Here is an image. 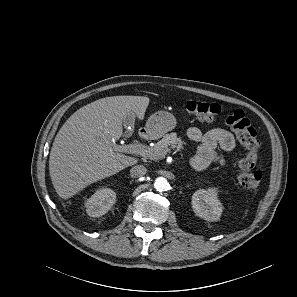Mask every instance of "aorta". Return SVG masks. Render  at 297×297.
I'll use <instances>...</instances> for the list:
<instances>
[{
  "mask_svg": "<svg viewBox=\"0 0 297 297\" xmlns=\"http://www.w3.org/2000/svg\"><path fill=\"white\" fill-rule=\"evenodd\" d=\"M154 188L159 191H165L168 188V181L166 178L164 177H158L156 178L155 182H154Z\"/></svg>",
  "mask_w": 297,
  "mask_h": 297,
  "instance_id": "obj_1",
  "label": "aorta"
}]
</instances>
